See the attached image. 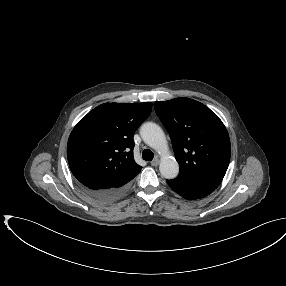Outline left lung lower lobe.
<instances>
[{
  "label": "left lung lower lobe",
  "mask_w": 286,
  "mask_h": 286,
  "mask_svg": "<svg viewBox=\"0 0 286 286\" xmlns=\"http://www.w3.org/2000/svg\"><path fill=\"white\" fill-rule=\"evenodd\" d=\"M167 183L176 193L189 200L203 198L214 191V188L209 186L189 182L178 177L167 180Z\"/></svg>",
  "instance_id": "0a47b994"
}]
</instances>
